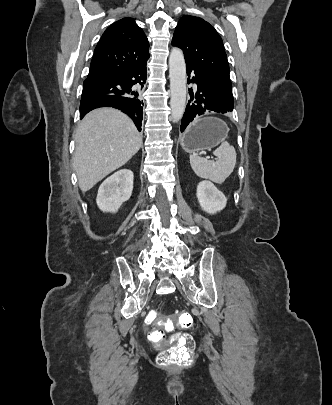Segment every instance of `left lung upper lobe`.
Masks as SVG:
<instances>
[{"mask_svg": "<svg viewBox=\"0 0 332 405\" xmlns=\"http://www.w3.org/2000/svg\"><path fill=\"white\" fill-rule=\"evenodd\" d=\"M172 45L183 50L186 65L205 77L220 104L233 110L227 55L217 31L202 18L185 15L176 26Z\"/></svg>", "mask_w": 332, "mask_h": 405, "instance_id": "1", "label": "left lung upper lobe"}]
</instances>
